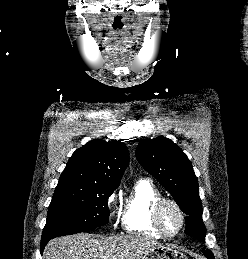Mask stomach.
Returning <instances> with one entry per match:
<instances>
[{"label": "stomach", "instance_id": "obj_1", "mask_svg": "<svg viewBox=\"0 0 248 259\" xmlns=\"http://www.w3.org/2000/svg\"><path fill=\"white\" fill-rule=\"evenodd\" d=\"M142 259H188V257L174 248L161 246L146 253Z\"/></svg>", "mask_w": 248, "mask_h": 259}]
</instances>
